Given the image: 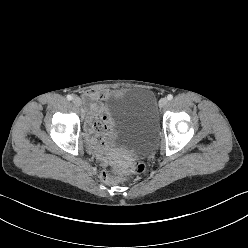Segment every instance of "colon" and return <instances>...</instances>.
<instances>
[{
    "label": "colon",
    "instance_id": "5ec220e1",
    "mask_svg": "<svg viewBox=\"0 0 248 248\" xmlns=\"http://www.w3.org/2000/svg\"><path fill=\"white\" fill-rule=\"evenodd\" d=\"M144 169L145 166L143 162L137 161L127 170H119L115 168L102 170L100 177L106 183L120 180L129 181L141 175L144 172Z\"/></svg>",
    "mask_w": 248,
    "mask_h": 248
}]
</instances>
